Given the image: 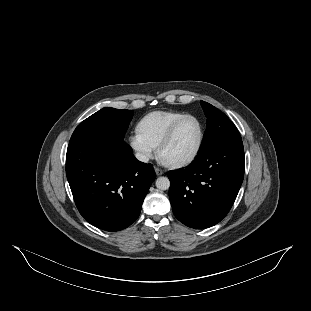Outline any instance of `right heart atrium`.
Wrapping results in <instances>:
<instances>
[{
  "mask_svg": "<svg viewBox=\"0 0 311 311\" xmlns=\"http://www.w3.org/2000/svg\"><path fill=\"white\" fill-rule=\"evenodd\" d=\"M128 144L136 158L143 163L149 162L155 156V149L145 144L135 134L129 137Z\"/></svg>",
  "mask_w": 311,
  "mask_h": 311,
  "instance_id": "1",
  "label": "right heart atrium"
}]
</instances>
